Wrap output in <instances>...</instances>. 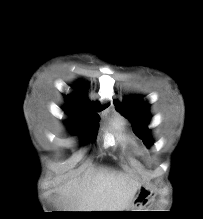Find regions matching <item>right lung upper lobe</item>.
Masks as SVG:
<instances>
[{"instance_id":"1","label":"right lung upper lobe","mask_w":203,"mask_h":219,"mask_svg":"<svg viewBox=\"0 0 203 219\" xmlns=\"http://www.w3.org/2000/svg\"><path fill=\"white\" fill-rule=\"evenodd\" d=\"M83 81H80L77 86L78 88H82ZM68 103H74L79 104L87 108L89 111H99L102 109L101 104L99 102L97 103H91L88 99H86L85 96L80 94H74V96H65Z\"/></svg>"}]
</instances>
